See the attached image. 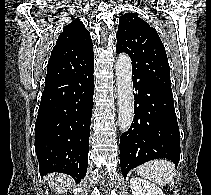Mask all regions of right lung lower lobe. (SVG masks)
Instances as JSON below:
<instances>
[{
  "instance_id": "1",
  "label": "right lung lower lobe",
  "mask_w": 211,
  "mask_h": 195,
  "mask_svg": "<svg viewBox=\"0 0 211 195\" xmlns=\"http://www.w3.org/2000/svg\"><path fill=\"white\" fill-rule=\"evenodd\" d=\"M94 64L88 69L51 82L42 92L35 124V151L41 176L65 173L83 179L94 93Z\"/></svg>"
}]
</instances>
